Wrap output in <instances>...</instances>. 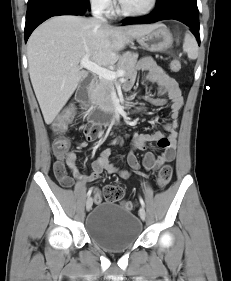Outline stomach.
I'll return each instance as SVG.
<instances>
[{
  "mask_svg": "<svg viewBox=\"0 0 231 281\" xmlns=\"http://www.w3.org/2000/svg\"><path fill=\"white\" fill-rule=\"evenodd\" d=\"M136 39L144 49L152 52L167 50L173 43L172 34L164 25H159L149 33L141 35Z\"/></svg>",
  "mask_w": 231,
  "mask_h": 281,
  "instance_id": "stomach-1",
  "label": "stomach"
}]
</instances>
